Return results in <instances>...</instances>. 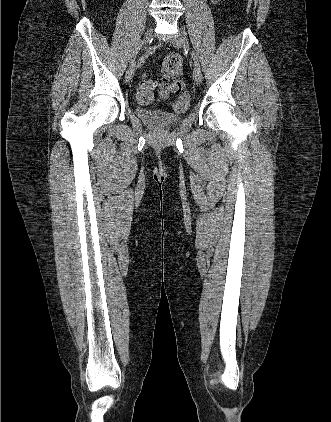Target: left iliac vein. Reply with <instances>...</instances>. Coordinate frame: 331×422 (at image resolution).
I'll return each instance as SVG.
<instances>
[{"mask_svg":"<svg viewBox=\"0 0 331 422\" xmlns=\"http://www.w3.org/2000/svg\"><path fill=\"white\" fill-rule=\"evenodd\" d=\"M171 43L176 48L186 47L188 45V39L184 32L178 33L171 39ZM193 79L196 84H201L203 80L202 72L199 68L195 67L193 71Z\"/></svg>","mask_w":331,"mask_h":422,"instance_id":"1","label":"left iliac vein"}]
</instances>
